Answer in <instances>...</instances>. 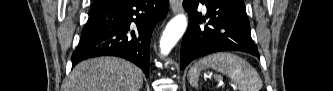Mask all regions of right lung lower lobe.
I'll return each mask as SVG.
<instances>
[{"label": "right lung lower lobe", "mask_w": 333, "mask_h": 91, "mask_svg": "<svg viewBox=\"0 0 333 91\" xmlns=\"http://www.w3.org/2000/svg\"><path fill=\"white\" fill-rule=\"evenodd\" d=\"M169 0H121L93 6L72 55V67L87 58H125L149 76V45L156 23L168 11Z\"/></svg>", "instance_id": "98d812e1"}]
</instances>
